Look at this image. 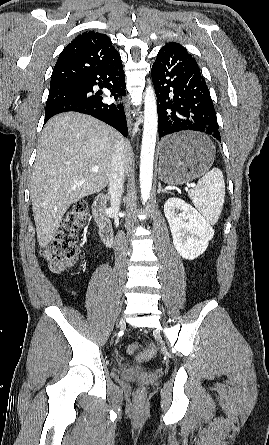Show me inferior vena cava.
I'll use <instances>...</instances> for the list:
<instances>
[{
    "mask_svg": "<svg viewBox=\"0 0 269 445\" xmlns=\"http://www.w3.org/2000/svg\"><path fill=\"white\" fill-rule=\"evenodd\" d=\"M124 146L117 142L112 155V172L109 180V197L111 209L115 222L118 223V212L122 193L124 191L125 168H124Z\"/></svg>",
    "mask_w": 269,
    "mask_h": 445,
    "instance_id": "1",
    "label": "inferior vena cava"
}]
</instances>
